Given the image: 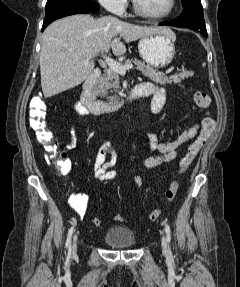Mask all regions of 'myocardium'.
Returning a JSON list of instances; mask_svg holds the SVG:
<instances>
[{
	"instance_id": "f54148a6",
	"label": "myocardium",
	"mask_w": 240,
	"mask_h": 287,
	"mask_svg": "<svg viewBox=\"0 0 240 287\" xmlns=\"http://www.w3.org/2000/svg\"><path fill=\"white\" fill-rule=\"evenodd\" d=\"M132 3H133V9L138 15L145 17L147 19H152V20H162V19L169 17L174 12V9L176 6V0H169L168 8L164 12L159 13V14H154L147 10H144L139 5L137 0H132Z\"/></svg>"
}]
</instances>
